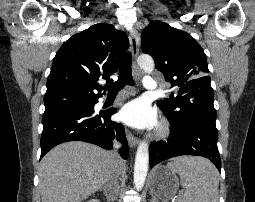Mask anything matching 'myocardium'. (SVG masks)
<instances>
[{
	"mask_svg": "<svg viewBox=\"0 0 255 202\" xmlns=\"http://www.w3.org/2000/svg\"><path fill=\"white\" fill-rule=\"evenodd\" d=\"M168 133H169V126L166 123H162L156 130V136L160 138L167 136Z\"/></svg>",
	"mask_w": 255,
	"mask_h": 202,
	"instance_id": "obj_1",
	"label": "myocardium"
}]
</instances>
